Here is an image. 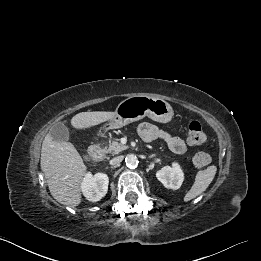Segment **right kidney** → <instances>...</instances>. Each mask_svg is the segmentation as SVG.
<instances>
[{
  "instance_id": "obj_1",
  "label": "right kidney",
  "mask_w": 261,
  "mask_h": 261,
  "mask_svg": "<svg viewBox=\"0 0 261 261\" xmlns=\"http://www.w3.org/2000/svg\"><path fill=\"white\" fill-rule=\"evenodd\" d=\"M109 179L104 173L92 175L87 173L81 183V190L87 200L97 202L104 197L108 191Z\"/></svg>"
}]
</instances>
